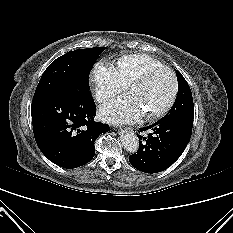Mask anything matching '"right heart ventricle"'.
Segmentation results:
<instances>
[{
    "instance_id": "1",
    "label": "right heart ventricle",
    "mask_w": 233,
    "mask_h": 233,
    "mask_svg": "<svg viewBox=\"0 0 233 233\" xmlns=\"http://www.w3.org/2000/svg\"><path fill=\"white\" fill-rule=\"evenodd\" d=\"M161 65V62L149 55L132 54L120 58L116 69L123 82L128 85L147 68Z\"/></svg>"
}]
</instances>
